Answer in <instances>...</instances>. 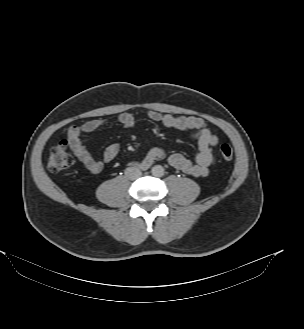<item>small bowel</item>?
I'll return each mask as SVG.
<instances>
[{"instance_id": "small-bowel-1", "label": "small bowel", "mask_w": 304, "mask_h": 329, "mask_svg": "<svg viewBox=\"0 0 304 329\" xmlns=\"http://www.w3.org/2000/svg\"><path fill=\"white\" fill-rule=\"evenodd\" d=\"M145 118L160 123L166 128L187 131L197 141L198 154L193 161L181 154H172L168 157L169 164L190 176L204 177L209 173L210 167L215 162L214 147L218 144L219 139L212 134L206 122L195 116H173L162 114L157 111H150L144 115ZM138 117L131 113H122L118 115L115 122L119 125L132 128L134 127ZM107 121L102 119L90 120L81 126H72L68 130L71 149L76 157L84 164V166L92 173H98L103 167V162L94 157L89 151L83 136L98 130L104 126ZM120 147L116 143L108 145L103 152V161L106 163L115 160L119 154ZM166 157L165 152L155 146H150L146 156L131 164L146 168L155 160H160Z\"/></svg>"}]
</instances>
